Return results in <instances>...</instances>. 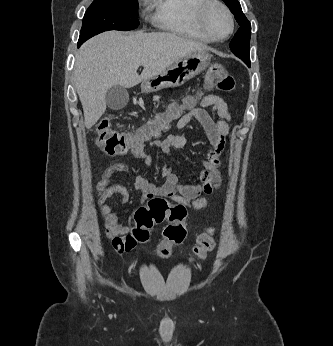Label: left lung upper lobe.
I'll use <instances>...</instances> for the list:
<instances>
[{
    "mask_svg": "<svg viewBox=\"0 0 333 346\" xmlns=\"http://www.w3.org/2000/svg\"><path fill=\"white\" fill-rule=\"evenodd\" d=\"M234 14L236 21L240 25L235 37L233 38L230 49L240 59H242L248 66H250L249 57V43L251 37V25L248 19L242 12L240 3L237 0H223Z\"/></svg>",
    "mask_w": 333,
    "mask_h": 346,
    "instance_id": "obj_1",
    "label": "left lung upper lobe"
}]
</instances>
